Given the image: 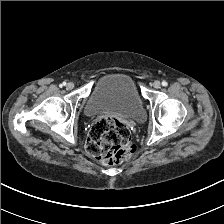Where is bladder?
Listing matches in <instances>:
<instances>
[{
  "label": "bladder",
  "mask_w": 224,
  "mask_h": 224,
  "mask_svg": "<svg viewBox=\"0 0 224 224\" xmlns=\"http://www.w3.org/2000/svg\"><path fill=\"white\" fill-rule=\"evenodd\" d=\"M89 116L114 112L136 122H143L146 113L132 78L124 73H109L93 85L85 104Z\"/></svg>",
  "instance_id": "31cf9c89"
}]
</instances>
